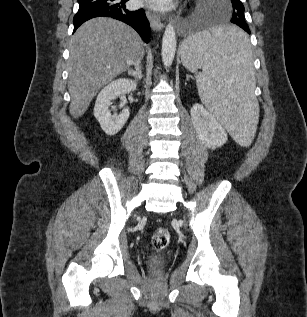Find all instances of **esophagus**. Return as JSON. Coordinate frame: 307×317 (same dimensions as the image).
Segmentation results:
<instances>
[{
    "instance_id": "34e87169",
    "label": "esophagus",
    "mask_w": 307,
    "mask_h": 317,
    "mask_svg": "<svg viewBox=\"0 0 307 317\" xmlns=\"http://www.w3.org/2000/svg\"><path fill=\"white\" fill-rule=\"evenodd\" d=\"M146 14H147V17L150 21V25H151L152 29L156 32L161 31L163 29V23H162L160 17L151 11H147Z\"/></svg>"
}]
</instances>
